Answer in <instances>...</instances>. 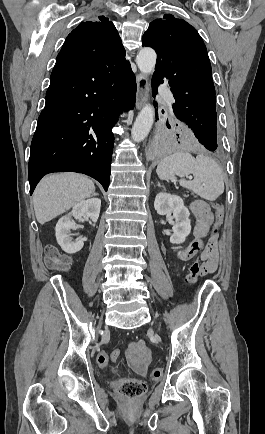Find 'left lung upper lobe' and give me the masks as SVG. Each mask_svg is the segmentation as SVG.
Returning a JSON list of instances; mask_svg holds the SVG:
<instances>
[{
  "mask_svg": "<svg viewBox=\"0 0 265 434\" xmlns=\"http://www.w3.org/2000/svg\"><path fill=\"white\" fill-rule=\"evenodd\" d=\"M142 45L157 53L152 85L169 82L176 117L190 128L217 127L211 64L196 29L171 14L164 15L150 23Z\"/></svg>",
  "mask_w": 265,
  "mask_h": 434,
  "instance_id": "left-lung-upper-lobe-1",
  "label": "left lung upper lobe"
}]
</instances>
